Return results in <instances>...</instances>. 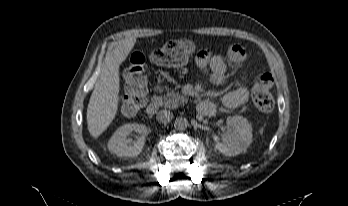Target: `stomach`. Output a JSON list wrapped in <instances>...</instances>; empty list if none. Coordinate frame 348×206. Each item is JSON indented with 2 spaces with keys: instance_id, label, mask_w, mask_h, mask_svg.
<instances>
[{
  "instance_id": "1",
  "label": "stomach",
  "mask_w": 348,
  "mask_h": 206,
  "mask_svg": "<svg viewBox=\"0 0 348 206\" xmlns=\"http://www.w3.org/2000/svg\"><path fill=\"white\" fill-rule=\"evenodd\" d=\"M181 43L186 53L190 54L195 50V45L191 40L185 39Z\"/></svg>"
}]
</instances>
